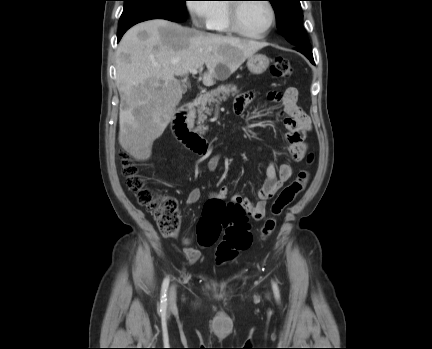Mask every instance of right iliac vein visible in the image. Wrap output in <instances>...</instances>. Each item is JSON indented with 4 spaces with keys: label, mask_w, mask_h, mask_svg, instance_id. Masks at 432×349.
<instances>
[{
    "label": "right iliac vein",
    "mask_w": 432,
    "mask_h": 349,
    "mask_svg": "<svg viewBox=\"0 0 432 349\" xmlns=\"http://www.w3.org/2000/svg\"><path fill=\"white\" fill-rule=\"evenodd\" d=\"M176 304V288L171 286L168 293V305L169 308H173Z\"/></svg>",
    "instance_id": "obj_1"
}]
</instances>
